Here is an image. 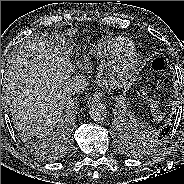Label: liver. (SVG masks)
I'll list each match as a JSON object with an SVG mask.
<instances>
[{
    "label": "liver",
    "mask_w": 184,
    "mask_h": 184,
    "mask_svg": "<svg viewBox=\"0 0 184 184\" xmlns=\"http://www.w3.org/2000/svg\"><path fill=\"white\" fill-rule=\"evenodd\" d=\"M68 64L48 39L35 38L7 63L4 95L22 124L39 137L49 134L69 96Z\"/></svg>",
    "instance_id": "6515ba94"
}]
</instances>
